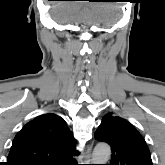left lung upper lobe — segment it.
Here are the masks:
<instances>
[{
	"label": "left lung upper lobe",
	"mask_w": 165,
	"mask_h": 165,
	"mask_svg": "<svg viewBox=\"0 0 165 165\" xmlns=\"http://www.w3.org/2000/svg\"><path fill=\"white\" fill-rule=\"evenodd\" d=\"M94 136L111 146L110 165H152L145 140L125 119L106 114Z\"/></svg>",
	"instance_id": "left-lung-upper-lobe-1"
}]
</instances>
